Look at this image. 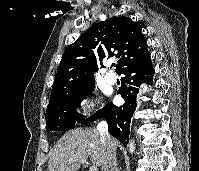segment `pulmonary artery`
<instances>
[{
	"instance_id": "pulmonary-artery-1",
	"label": "pulmonary artery",
	"mask_w": 199,
	"mask_h": 171,
	"mask_svg": "<svg viewBox=\"0 0 199 171\" xmlns=\"http://www.w3.org/2000/svg\"><path fill=\"white\" fill-rule=\"evenodd\" d=\"M104 79L105 81L110 84V85H113L116 83V77L112 74V73H107L105 76H104Z\"/></svg>"
}]
</instances>
